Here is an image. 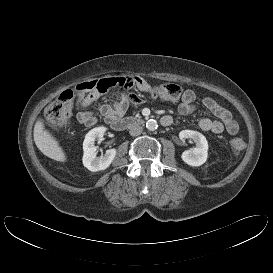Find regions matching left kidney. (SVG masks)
Wrapping results in <instances>:
<instances>
[{
    "label": "left kidney",
    "instance_id": "obj_1",
    "mask_svg": "<svg viewBox=\"0 0 273 273\" xmlns=\"http://www.w3.org/2000/svg\"><path fill=\"white\" fill-rule=\"evenodd\" d=\"M181 140L191 138L196 147L182 153V160L190 166H200L207 160L208 142L203 134L193 130H183L179 133Z\"/></svg>",
    "mask_w": 273,
    "mask_h": 273
}]
</instances>
